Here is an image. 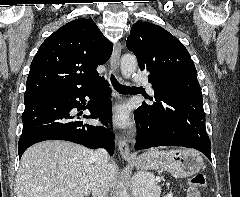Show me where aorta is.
Here are the masks:
<instances>
[{
    "mask_svg": "<svg viewBox=\"0 0 240 197\" xmlns=\"http://www.w3.org/2000/svg\"><path fill=\"white\" fill-rule=\"evenodd\" d=\"M137 69V59L134 55L125 54L121 58V73L125 78H130ZM143 183L145 186V191L143 192V197L150 190V182L147 175L143 176ZM119 197H129L127 188L125 184H121V189L119 192Z\"/></svg>",
    "mask_w": 240,
    "mask_h": 197,
    "instance_id": "762f6f07",
    "label": "aorta"
}]
</instances>
